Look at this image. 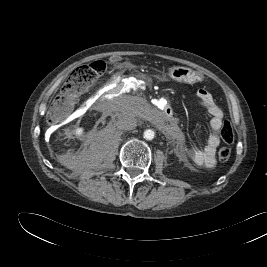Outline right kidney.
Instances as JSON below:
<instances>
[{
	"label": "right kidney",
	"instance_id": "1",
	"mask_svg": "<svg viewBox=\"0 0 267 267\" xmlns=\"http://www.w3.org/2000/svg\"><path fill=\"white\" fill-rule=\"evenodd\" d=\"M83 133V128H77L76 130H75V134L76 135H78V136H80L81 134Z\"/></svg>",
	"mask_w": 267,
	"mask_h": 267
}]
</instances>
